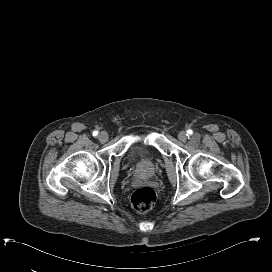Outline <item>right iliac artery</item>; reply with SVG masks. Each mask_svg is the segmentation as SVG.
Masks as SVG:
<instances>
[{
	"label": "right iliac artery",
	"mask_w": 272,
	"mask_h": 272,
	"mask_svg": "<svg viewBox=\"0 0 272 272\" xmlns=\"http://www.w3.org/2000/svg\"><path fill=\"white\" fill-rule=\"evenodd\" d=\"M98 135V132L97 131H94L93 132V136H97Z\"/></svg>",
	"instance_id": "right-iliac-artery-1"
}]
</instances>
